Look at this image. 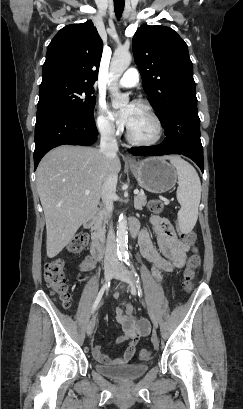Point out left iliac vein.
Listing matches in <instances>:
<instances>
[{
  "label": "left iliac vein",
  "mask_w": 243,
  "mask_h": 409,
  "mask_svg": "<svg viewBox=\"0 0 243 409\" xmlns=\"http://www.w3.org/2000/svg\"><path fill=\"white\" fill-rule=\"evenodd\" d=\"M114 276H115V278H117V279H119L121 281L127 282L130 285H134V286L138 287L137 281H136L134 275L132 274V272L126 270V268L124 266H122V265H117L115 267ZM146 306H147V309H148L149 317H150V319H151V321H152V323L154 325V328H157L158 327V322H157L156 316H155L153 310L151 309V307H150V305H149V303L147 301H146ZM154 344L156 345V342H154Z\"/></svg>",
  "instance_id": "4c4485c4"
}]
</instances>
